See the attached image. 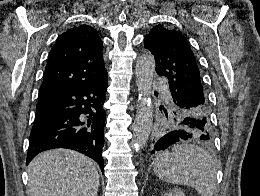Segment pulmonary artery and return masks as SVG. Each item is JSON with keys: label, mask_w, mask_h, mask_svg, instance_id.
<instances>
[{"label": "pulmonary artery", "mask_w": 260, "mask_h": 196, "mask_svg": "<svg viewBox=\"0 0 260 196\" xmlns=\"http://www.w3.org/2000/svg\"><path fill=\"white\" fill-rule=\"evenodd\" d=\"M157 83H158V84H163V83H164V80H163V79H158V80H157Z\"/></svg>", "instance_id": "e3ab8cb5"}]
</instances>
